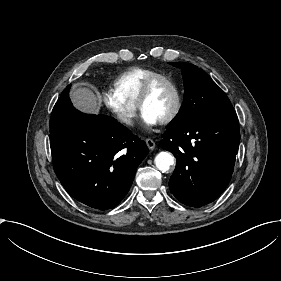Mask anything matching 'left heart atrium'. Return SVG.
Returning <instances> with one entry per match:
<instances>
[{
  "label": "left heart atrium",
  "mask_w": 281,
  "mask_h": 281,
  "mask_svg": "<svg viewBox=\"0 0 281 281\" xmlns=\"http://www.w3.org/2000/svg\"><path fill=\"white\" fill-rule=\"evenodd\" d=\"M141 116L145 124L148 126H155L158 123L154 118H152L149 114L144 111H142Z\"/></svg>",
  "instance_id": "obj_1"
}]
</instances>
